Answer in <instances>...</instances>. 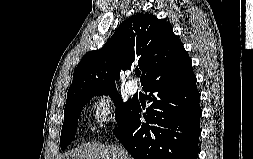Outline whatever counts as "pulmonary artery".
I'll return each instance as SVG.
<instances>
[{"label": "pulmonary artery", "instance_id": "1", "mask_svg": "<svg viewBox=\"0 0 253 159\" xmlns=\"http://www.w3.org/2000/svg\"><path fill=\"white\" fill-rule=\"evenodd\" d=\"M138 85L134 81H130L126 84V91L130 95H134L138 91Z\"/></svg>", "mask_w": 253, "mask_h": 159}]
</instances>
